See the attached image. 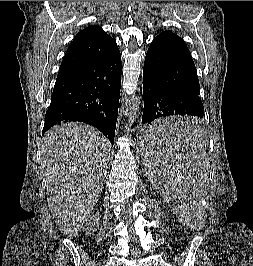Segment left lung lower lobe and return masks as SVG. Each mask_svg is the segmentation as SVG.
Returning a JSON list of instances; mask_svg holds the SVG:
<instances>
[{"instance_id":"obj_1","label":"left lung lower lobe","mask_w":253,"mask_h":266,"mask_svg":"<svg viewBox=\"0 0 253 266\" xmlns=\"http://www.w3.org/2000/svg\"><path fill=\"white\" fill-rule=\"evenodd\" d=\"M144 134L151 141H167L195 136L204 108L199 96L197 70L185 42L164 31L151 43L143 67ZM192 115L181 122H166L163 117Z\"/></svg>"}]
</instances>
